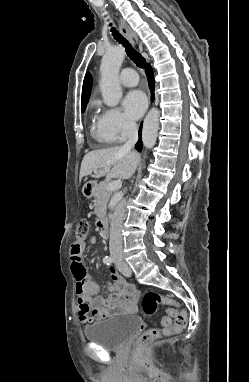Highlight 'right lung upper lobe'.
<instances>
[{
	"label": "right lung upper lobe",
	"mask_w": 249,
	"mask_h": 382,
	"mask_svg": "<svg viewBox=\"0 0 249 382\" xmlns=\"http://www.w3.org/2000/svg\"><path fill=\"white\" fill-rule=\"evenodd\" d=\"M91 86H92V76L91 74L87 73L84 78L83 88H82V101H81L82 110L86 108V105L91 93Z\"/></svg>",
	"instance_id": "right-lung-upper-lobe-1"
}]
</instances>
